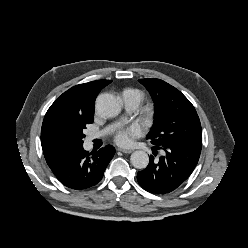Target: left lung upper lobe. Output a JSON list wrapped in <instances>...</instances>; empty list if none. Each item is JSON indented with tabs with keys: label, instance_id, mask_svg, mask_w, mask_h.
<instances>
[{
	"label": "left lung upper lobe",
	"instance_id": "1",
	"mask_svg": "<svg viewBox=\"0 0 248 248\" xmlns=\"http://www.w3.org/2000/svg\"><path fill=\"white\" fill-rule=\"evenodd\" d=\"M155 105L154 123L147 139L156 146H176L201 152L202 129L191 102L160 79H140Z\"/></svg>",
	"mask_w": 248,
	"mask_h": 248
}]
</instances>
